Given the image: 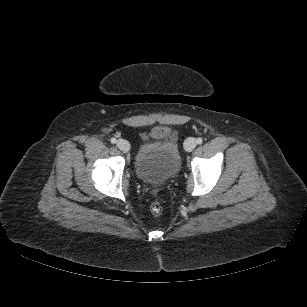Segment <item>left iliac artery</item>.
<instances>
[{
  "mask_svg": "<svg viewBox=\"0 0 307 307\" xmlns=\"http://www.w3.org/2000/svg\"><path fill=\"white\" fill-rule=\"evenodd\" d=\"M197 144H202L203 143V139L202 138H197Z\"/></svg>",
  "mask_w": 307,
  "mask_h": 307,
  "instance_id": "1",
  "label": "left iliac artery"
}]
</instances>
